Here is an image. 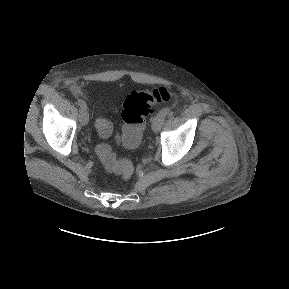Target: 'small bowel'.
<instances>
[{
    "mask_svg": "<svg viewBox=\"0 0 289 289\" xmlns=\"http://www.w3.org/2000/svg\"><path fill=\"white\" fill-rule=\"evenodd\" d=\"M71 91H72V93H73L74 95H81V91H80V89H79L76 85H73V86L71 87Z\"/></svg>",
    "mask_w": 289,
    "mask_h": 289,
    "instance_id": "c3829d8e",
    "label": "small bowel"
}]
</instances>
